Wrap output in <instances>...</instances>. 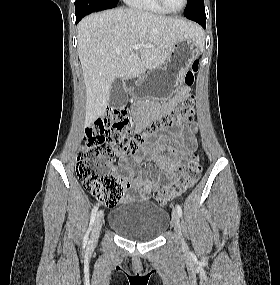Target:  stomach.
Segmentation results:
<instances>
[{
  "label": "stomach",
  "instance_id": "0dacf381",
  "mask_svg": "<svg viewBox=\"0 0 280 285\" xmlns=\"http://www.w3.org/2000/svg\"><path fill=\"white\" fill-rule=\"evenodd\" d=\"M199 52L197 40L180 39L175 43L162 70L159 73L153 72L140 77L130 86V92L135 97H140L145 89L156 87V100L166 102L182 87L184 75Z\"/></svg>",
  "mask_w": 280,
  "mask_h": 285
}]
</instances>
